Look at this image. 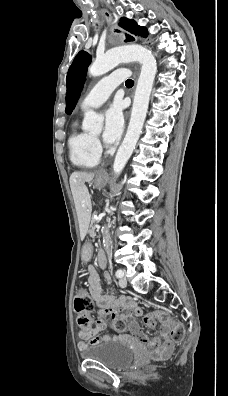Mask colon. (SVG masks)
Returning a JSON list of instances; mask_svg holds the SVG:
<instances>
[{"label": "colon", "mask_w": 228, "mask_h": 396, "mask_svg": "<svg viewBox=\"0 0 228 396\" xmlns=\"http://www.w3.org/2000/svg\"><path fill=\"white\" fill-rule=\"evenodd\" d=\"M93 309V302L90 295L84 288H79L74 299V310L77 314V323L80 329H86L90 326L88 313ZM102 318V317H101ZM157 321L169 331L173 342H181L185 337L184 325L175 320L168 312L164 310L152 311L145 315L144 322L150 328H155ZM114 328L123 332L127 325L122 320H115Z\"/></svg>", "instance_id": "5ec220e1"}]
</instances>
